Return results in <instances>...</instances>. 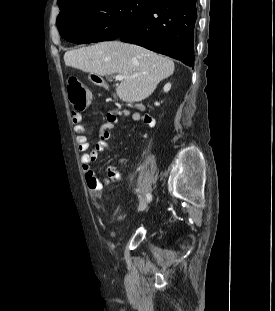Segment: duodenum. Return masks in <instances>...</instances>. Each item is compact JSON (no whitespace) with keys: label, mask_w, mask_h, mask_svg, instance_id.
Masks as SVG:
<instances>
[{"label":"duodenum","mask_w":275,"mask_h":311,"mask_svg":"<svg viewBox=\"0 0 275 311\" xmlns=\"http://www.w3.org/2000/svg\"><path fill=\"white\" fill-rule=\"evenodd\" d=\"M90 80L92 81L93 84H102L103 83V78L101 77L100 74H91Z\"/></svg>","instance_id":"obj_1"}]
</instances>
